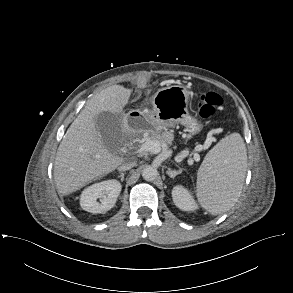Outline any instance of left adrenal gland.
Instances as JSON below:
<instances>
[{
    "label": "left adrenal gland",
    "mask_w": 293,
    "mask_h": 293,
    "mask_svg": "<svg viewBox=\"0 0 293 293\" xmlns=\"http://www.w3.org/2000/svg\"><path fill=\"white\" fill-rule=\"evenodd\" d=\"M170 178H175L178 174L181 173V169L176 171V170H171V169H168V171L166 172Z\"/></svg>",
    "instance_id": "left-adrenal-gland-1"
}]
</instances>
